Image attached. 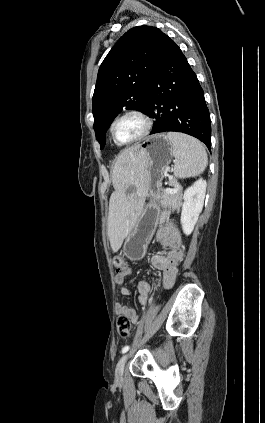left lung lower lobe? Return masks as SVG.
Masks as SVG:
<instances>
[{
    "mask_svg": "<svg viewBox=\"0 0 265 423\" xmlns=\"http://www.w3.org/2000/svg\"><path fill=\"white\" fill-rule=\"evenodd\" d=\"M144 114L156 121L151 134L183 132L210 150V114L196 74L176 43L165 36L146 92Z\"/></svg>",
    "mask_w": 265,
    "mask_h": 423,
    "instance_id": "obj_1",
    "label": "left lung lower lobe"
}]
</instances>
